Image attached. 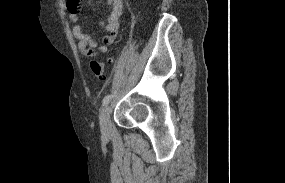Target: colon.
Masks as SVG:
<instances>
[{
	"label": "colon",
	"instance_id": "1",
	"mask_svg": "<svg viewBox=\"0 0 285 183\" xmlns=\"http://www.w3.org/2000/svg\"><path fill=\"white\" fill-rule=\"evenodd\" d=\"M75 0H67L69 10L76 11V7L72 5ZM90 69L94 77L99 80L105 79V63L100 61H92L90 63Z\"/></svg>",
	"mask_w": 285,
	"mask_h": 183
}]
</instances>
